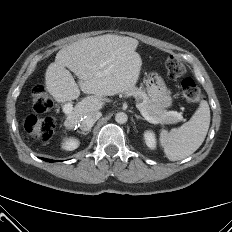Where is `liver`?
Listing matches in <instances>:
<instances>
[{"label":"liver","instance_id":"liver-1","mask_svg":"<svg viewBox=\"0 0 232 232\" xmlns=\"http://www.w3.org/2000/svg\"><path fill=\"white\" fill-rule=\"evenodd\" d=\"M137 46L134 38L105 34L79 40L57 53L45 73L46 90L58 103L77 99L80 89L88 94L66 114V129L77 127L86 114L101 110L104 97L135 87L142 65ZM65 67L78 76L79 86Z\"/></svg>","mask_w":232,"mask_h":232}]
</instances>
